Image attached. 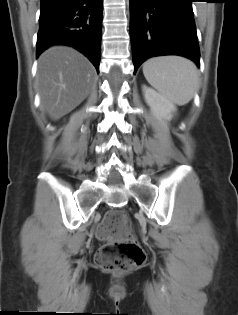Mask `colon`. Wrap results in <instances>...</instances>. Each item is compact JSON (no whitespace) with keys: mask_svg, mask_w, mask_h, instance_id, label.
<instances>
[{"mask_svg":"<svg viewBox=\"0 0 238 315\" xmlns=\"http://www.w3.org/2000/svg\"><path fill=\"white\" fill-rule=\"evenodd\" d=\"M96 235L108 241L96 254V263L108 271H126L142 265L146 255L128 230L127 215L119 210L108 212L96 230Z\"/></svg>","mask_w":238,"mask_h":315,"instance_id":"colon-1","label":"colon"}]
</instances>
